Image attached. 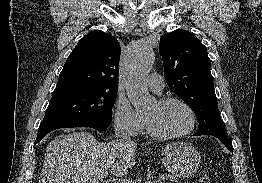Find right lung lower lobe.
<instances>
[{"label":"right lung lower lobe","mask_w":262,"mask_h":183,"mask_svg":"<svg viewBox=\"0 0 262 183\" xmlns=\"http://www.w3.org/2000/svg\"><path fill=\"white\" fill-rule=\"evenodd\" d=\"M110 124L111 122H89L85 120H55L50 122H42L38 129L35 144L42 140V138L50 131L58 128L91 127L98 131H105Z\"/></svg>","instance_id":"right-lung-lower-lobe-1"}]
</instances>
